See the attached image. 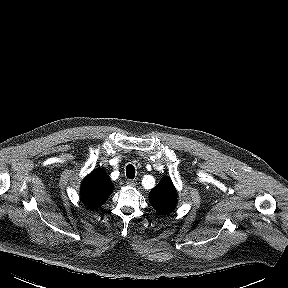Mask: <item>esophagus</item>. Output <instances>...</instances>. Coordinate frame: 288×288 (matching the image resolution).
<instances>
[{"label": "esophagus", "mask_w": 288, "mask_h": 288, "mask_svg": "<svg viewBox=\"0 0 288 288\" xmlns=\"http://www.w3.org/2000/svg\"><path fill=\"white\" fill-rule=\"evenodd\" d=\"M126 184H127L128 186L134 187V186H136L137 181H136V180L128 179V180L126 181Z\"/></svg>", "instance_id": "1"}]
</instances>
